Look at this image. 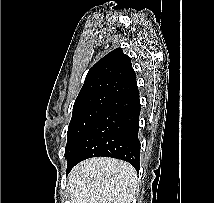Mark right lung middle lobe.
I'll return each mask as SVG.
<instances>
[{"instance_id": "obj_1", "label": "right lung middle lobe", "mask_w": 214, "mask_h": 203, "mask_svg": "<svg viewBox=\"0 0 214 203\" xmlns=\"http://www.w3.org/2000/svg\"><path fill=\"white\" fill-rule=\"evenodd\" d=\"M112 100L113 98L106 96H90L75 100L67 132L66 159L69 158L83 135Z\"/></svg>"}]
</instances>
